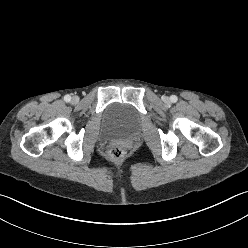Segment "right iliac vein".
<instances>
[{
	"label": "right iliac vein",
	"instance_id": "63e3f726",
	"mask_svg": "<svg viewBox=\"0 0 248 248\" xmlns=\"http://www.w3.org/2000/svg\"><path fill=\"white\" fill-rule=\"evenodd\" d=\"M72 102H73V103H77V102H78V97H77V96H74V97L72 98Z\"/></svg>",
	"mask_w": 248,
	"mask_h": 248
}]
</instances>
